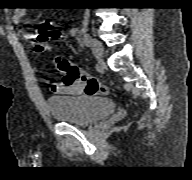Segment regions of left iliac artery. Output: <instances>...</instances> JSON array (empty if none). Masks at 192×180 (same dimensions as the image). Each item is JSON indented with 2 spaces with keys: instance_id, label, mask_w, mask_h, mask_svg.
Here are the masks:
<instances>
[{
  "instance_id": "obj_1",
  "label": "left iliac artery",
  "mask_w": 192,
  "mask_h": 180,
  "mask_svg": "<svg viewBox=\"0 0 192 180\" xmlns=\"http://www.w3.org/2000/svg\"><path fill=\"white\" fill-rule=\"evenodd\" d=\"M81 34H82L83 43L86 46H90L91 36L87 33L86 26L82 29Z\"/></svg>"
}]
</instances>
